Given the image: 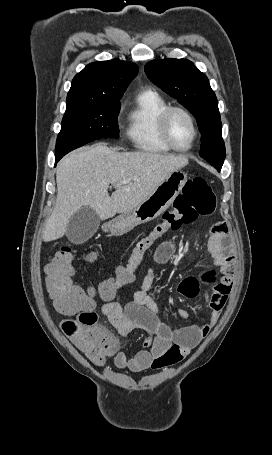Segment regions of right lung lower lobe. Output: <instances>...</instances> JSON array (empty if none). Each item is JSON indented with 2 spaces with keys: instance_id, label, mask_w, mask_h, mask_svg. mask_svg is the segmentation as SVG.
<instances>
[{
  "instance_id": "98d812e1",
  "label": "right lung lower lobe",
  "mask_w": 272,
  "mask_h": 455,
  "mask_svg": "<svg viewBox=\"0 0 272 455\" xmlns=\"http://www.w3.org/2000/svg\"><path fill=\"white\" fill-rule=\"evenodd\" d=\"M61 157V155H56V163L60 160Z\"/></svg>"
}]
</instances>
